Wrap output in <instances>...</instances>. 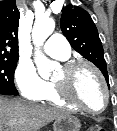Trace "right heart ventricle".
I'll list each match as a JSON object with an SVG mask.
<instances>
[{"label":"right heart ventricle","mask_w":117,"mask_h":131,"mask_svg":"<svg viewBox=\"0 0 117 131\" xmlns=\"http://www.w3.org/2000/svg\"><path fill=\"white\" fill-rule=\"evenodd\" d=\"M40 100L46 103L52 104V105L66 107V108L73 109V110L76 109L75 107L69 105L68 103H66L59 97L53 82H48L47 89Z\"/></svg>","instance_id":"right-heart-ventricle-1"}]
</instances>
